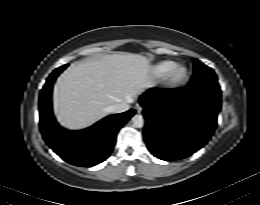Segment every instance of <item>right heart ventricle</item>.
Returning a JSON list of instances; mask_svg holds the SVG:
<instances>
[{
    "mask_svg": "<svg viewBox=\"0 0 260 205\" xmlns=\"http://www.w3.org/2000/svg\"><path fill=\"white\" fill-rule=\"evenodd\" d=\"M175 65V62L170 60L158 62L152 67V74L156 78H163Z\"/></svg>",
    "mask_w": 260,
    "mask_h": 205,
    "instance_id": "e07e8e85",
    "label": "right heart ventricle"
}]
</instances>
